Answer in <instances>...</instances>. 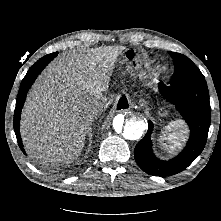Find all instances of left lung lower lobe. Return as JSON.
<instances>
[{
  "instance_id": "1",
  "label": "left lung lower lobe",
  "mask_w": 221,
  "mask_h": 221,
  "mask_svg": "<svg viewBox=\"0 0 221 221\" xmlns=\"http://www.w3.org/2000/svg\"><path fill=\"white\" fill-rule=\"evenodd\" d=\"M162 99L175 105L190 129L186 147L175 158L162 161L152 151L153 123L148 121V131L136 145L134 157L138 166L148 174L171 176L183 171L203 151L211 120L209 92L205 79L178 82L166 86L158 84Z\"/></svg>"
}]
</instances>
